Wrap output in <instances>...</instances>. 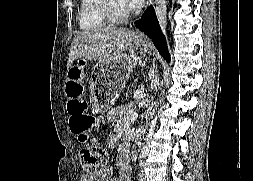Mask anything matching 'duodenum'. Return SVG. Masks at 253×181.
<instances>
[{"label":"duodenum","mask_w":253,"mask_h":181,"mask_svg":"<svg viewBox=\"0 0 253 181\" xmlns=\"http://www.w3.org/2000/svg\"><path fill=\"white\" fill-rule=\"evenodd\" d=\"M146 132V129H142V130H140L137 134H136V136L138 137V136H141L143 133H145Z\"/></svg>","instance_id":"duodenum-1"}]
</instances>
